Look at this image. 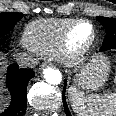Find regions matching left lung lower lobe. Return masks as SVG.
<instances>
[{
  "mask_svg": "<svg viewBox=\"0 0 116 116\" xmlns=\"http://www.w3.org/2000/svg\"><path fill=\"white\" fill-rule=\"evenodd\" d=\"M107 50H109V49H107ZM100 51H105V50L100 49ZM66 85H67V80L65 79L64 80V90H63V93H62V99H63V105H64L66 115L71 116V114L69 112V109H68V106H67V103H66V100H65V88H66Z\"/></svg>",
  "mask_w": 116,
  "mask_h": 116,
  "instance_id": "0a47b994",
  "label": "left lung lower lobe"
}]
</instances>
